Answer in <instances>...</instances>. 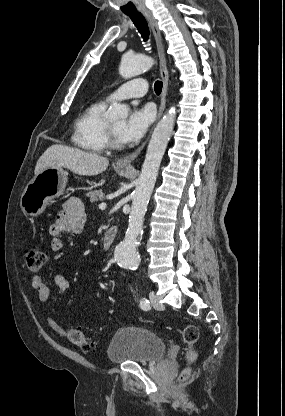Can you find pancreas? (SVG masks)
Here are the masks:
<instances>
[{
    "label": "pancreas",
    "mask_w": 285,
    "mask_h": 416,
    "mask_svg": "<svg viewBox=\"0 0 285 416\" xmlns=\"http://www.w3.org/2000/svg\"><path fill=\"white\" fill-rule=\"evenodd\" d=\"M86 196L90 198V202H97V200L103 202L105 194H103V190H95V192H87Z\"/></svg>",
    "instance_id": "cf45deb5"
}]
</instances>
